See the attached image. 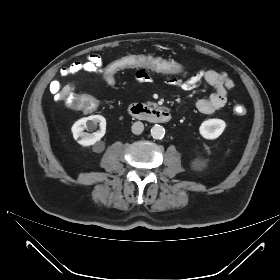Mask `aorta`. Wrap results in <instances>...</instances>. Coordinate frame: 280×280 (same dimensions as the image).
<instances>
[{
  "label": "aorta",
  "instance_id": "aorta-1",
  "mask_svg": "<svg viewBox=\"0 0 280 280\" xmlns=\"http://www.w3.org/2000/svg\"><path fill=\"white\" fill-rule=\"evenodd\" d=\"M165 135V129L161 125H154L151 128V136L154 139H162Z\"/></svg>",
  "mask_w": 280,
  "mask_h": 280
}]
</instances>
